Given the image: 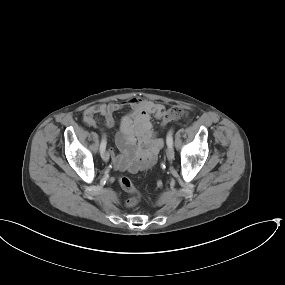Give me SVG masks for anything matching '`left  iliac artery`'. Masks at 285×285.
I'll return each instance as SVG.
<instances>
[{"label":"left iliac artery","mask_w":285,"mask_h":285,"mask_svg":"<svg viewBox=\"0 0 285 285\" xmlns=\"http://www.w3.org/2000/svg\"><path fill=\"white\" fill-rule=\"evenodd\" d=\"M172 134H173V131L170 130L167 134V137H166V143L168 146H172L173 145V137H172Z\"/></svg>","instance_id":"left-iliac-artery-1"}]
</instances>
